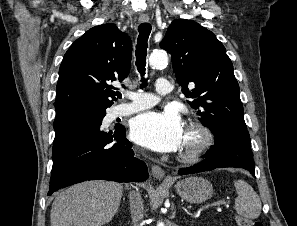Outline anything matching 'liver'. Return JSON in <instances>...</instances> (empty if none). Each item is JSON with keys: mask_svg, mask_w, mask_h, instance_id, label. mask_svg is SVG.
Masks as SVG:
<instances>
[{"mask_svg": "<svg viewBox=\"0 0 297 226\" xmlns=\"http://www.w3.org/2000/svg\"><path fill=\"white\" fill-rule=\"evenodd\" d=\"M123 195L120 183L87 181L60 193L50 213L51 226H102L117 212Z\"/></svg>", "mask_w": 297, "mask_h": 226, "instance_id": "liver-1", "label": "liver"}]
</instances>
